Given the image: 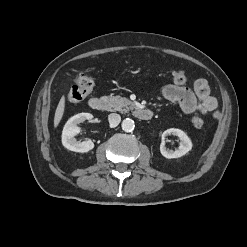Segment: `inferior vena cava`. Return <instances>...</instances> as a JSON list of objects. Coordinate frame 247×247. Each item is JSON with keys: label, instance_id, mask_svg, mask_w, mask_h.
I'll return each instance as SVG.
<instances>
[{"label": "inferior vena cava", "instance_id": "602c4592", "mask_svg": "<svg viewBox=\"0 0 247 247\" xmlns=\"http://www.w3.org/2000/svg\"><path fill=\"white\" fill-rule=\"evenodd\" d=\"M108 121H109L111 126L115 127L120 123L121 117L117 113H111L108 115Z\"/></svg>", "mask_w": 247, "mask_h": 247}]
</instances>
